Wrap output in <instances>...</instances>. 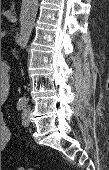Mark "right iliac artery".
<instances>
[{
  "label": "right iliac artery",
  "instance_id": "right-iliac-artery-1",
  "mask_svg": "<svg viewBox=\"0 0 109 170\" xmlns=\"http://www.w3.org/2000/svg\"><path fill=\"white\" fill-rule=\"evenodd\" d=\"M24 107V103L23 102H18L17 103V110H22Z\"/></svg>",
  "mask_w": 109,
  "mask_h": 170
}]
</instances>
